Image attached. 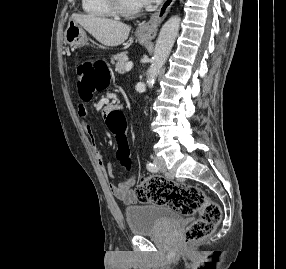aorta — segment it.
Listing matches in <instances>:
<instances>
[{
	"mask_svg": "<svg viewBox=\"0 0 286 269\" xmlns=\"http://www.w3.org/2000/svg\"><path fill=\"white\" fill-rule=\"evenodd\" d=\"M180 28V18L172 16L161 28L156 41L153 60L147 72V84L154 83L161 68L165 64Z\"/></svg>",
	"mask_w": 286,
	"mask_h": 269,
	"instance_id": "1",
	"label": "aorta"
}]
</instances>
